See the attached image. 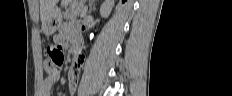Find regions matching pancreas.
<instances>
[{"label":"pancreas","instance_id":"pancreas-1","mask_svg":"<svg viewBox=\"0 0 232 96\" xmlns=\"http://www.w3.org/2000/svg\"><path fill=\"white\" fill-rule=\"evenodd\" d=\"M82 5H72L69 10L64 13L65 19H74L76 17L82 16L83 11Z\"/></svg>","mask_w":232,"mask_h":96}]
</instances>
